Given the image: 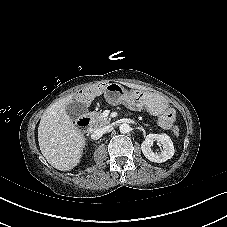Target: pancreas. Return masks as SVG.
I'll return each mask as SVG.
<instances>
[{"label":"pancreas","mask_w":227,"mask_h":227,"mask_svg":"<svg viewBox=\"0 0 227 227\" xmlns=\"http://www.w3.org/2000/svg\"><path fill=\"white\" fill-rule=\"evenodd\" d=\"M89 116L91 117V119L96 127H103L110 123V120L108 118L103 117L101 112L93 111V112L89 113ZM172 132L176 136H178V134H179L177 127H175L172 130Z\"/></svg>","instance_id":"obj_1"}]
</instances>
